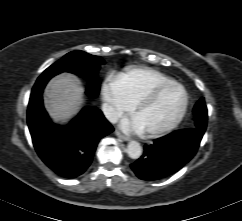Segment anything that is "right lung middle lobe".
<instances>
[{"label": "right lung middle lobe", "mask_w": 242, "mask_h": 221, "mask_svg": "<svg viewBox=\"0 0 242 221\" xmlns=\"http://www.w3.org/2000/svg\"><path fill=\"white\" fill-rule=\"evenodd\" d=\"M104 61L99 56H93L83 51H73L66 54L63 58L48 67L37 79L32 92L43 90L46 83L53 76L61 72H71L81 75L89 80L87 94L96 96L99 93L100 83L97 79V73L100 65Z\"/></svg>", "instance_id": "dd1d6c3e"}]
</instances>
